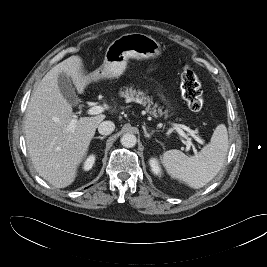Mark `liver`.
<instances>
[{"label":"liver","instance_id":"obj_1","mask_svg":"<svg viewBox=\"0 0 267 267\" xmlns=\"http://www.w3.org/2000/svg\"><path fill=\"white\" fill-rule=\"evenodd\" d=\"M62 72L71 78L79 94L84 93L93 79L92 74L85 75L80 56L65 59L47 72L33 91L25 119V138L32 163L39 175L56 188L74 182L96 128L106 117L99 114L77 119L73 115L72 106L58 85ZM73 119L76 123L71 129Z\"/></svg>","mask_w":267,"mask_h":267}]
</instances>
